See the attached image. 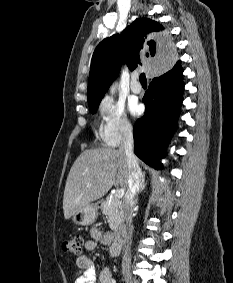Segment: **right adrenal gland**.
I'll list each match as a JSON object with an SVG mask.
<instances>
[{
  "instance_id": "2a0ac1e0",
  "label": "right adrenal gland",
  "mask_w": 233,
  "mask_h": 283,
  "mask_svg": "<svg viewBox=\"0 0 233 283\" xmlns=\"http://www.w3.org/2000/svg\"><path fill=\"white\" fill-rule=\"evenodd\" d=\"M145 186H146V182H145V174H144L143 177H142V182H141V185H140L139 192H142L145 189Z\"/></svg>"
}]
</instances>
